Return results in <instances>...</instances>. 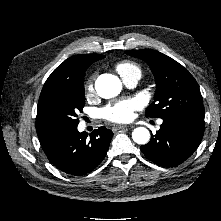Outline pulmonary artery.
Wrapping results in <instances>:
<instances>
[{
	"label": "pulmonary artery",
	"mask_w": 221,
	"mask_h": 221,
	"mask_svg": "<svg viewBox=\"0 0 221 221\" xmlns=\"http://www.w3.org/2000/svg\"><path fill=\"white\" fill-rule=\"evenodd\" d=\"M139 78L140 77L138 75H131L126 78H123V81L126 85L133 87L137 84ZM161 123H162V121H159V124H161Z\"/></svg>",
	"instance_id": "1"
}]
</instances>
